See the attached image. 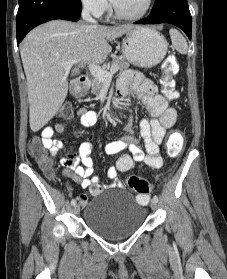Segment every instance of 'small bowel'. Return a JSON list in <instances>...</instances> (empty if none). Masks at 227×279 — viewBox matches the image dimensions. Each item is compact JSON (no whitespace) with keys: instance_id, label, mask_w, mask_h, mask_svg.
Masks as SVG:
<instances>
[{"instance_id":"c3829d8e","label":"small bowel","mask_w":227,"mask_h":279,"mask_svg":"<svg viewBox=\"0 0 227 279\" xmlns=\"http://www.w3.org/2000/svg\"><path fill=\"white\" fill-rule=\"evenodd\" d=\"M118 93L126 96L132 91L147 108L150 114L149 119L139 121L137 128L144 142L146 153H144L138 141L133 137L134 127L132 121L125 125L127 135L120 140L109 142L105 151L109 155L121 153L116 163L108 170V178L114 183H118L117 176L120 172L131 170L136 161L144 162L151 168H159L163 164L160 156L159 146L162 143L168 129L174 126L177 119V112L174 108L168 107L167 100L158 93L155 84L147 79H143L137 73H124L118 81ZM79 122L82 126L91 128L97 121L96 112L79 109L77 111ZM65 132V121L54 118L51 124L46 125L42 130L43 146L49 149L52 156H57L62 148V141L53 138L55 133ZM94 134L90 133L86 142L82 143L75 153H66L59 159L60 166L64 173L75 183L83 188L97 186L94 193H99L104 186L100 178L93 176L94 160L92 157L91 140ZM126 151V153H123ZM80 203L86 206L89 200L85 195H80Z\"/></svg>"}]
</instances>
